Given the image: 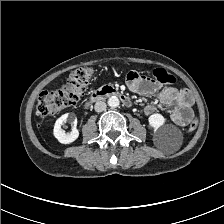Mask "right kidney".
Listing matches in <instances>:
<instances>
[{
  "mask_svg": "<svg viewBox=\"0 0 224 224\" xmlns=\"http://www.w3.org/2000/svg\"><path fill=\"white\" fill-rule=\"evenodd\" d=\"M66 121L70 122L73 125L72 131L68 134H66L61 129V126ZM76 125H77V118H76L75 114L74 113H66L56 120L54 129H53V134H54L55 138L58 139V141L62 144L72 143L79 136V131L77 130Z\"/></svg>",
  "mask_w": 224,
  "mask_h": 224,
  "instance_id": "obj_1",
  "label": "right kidney"
}]
</instances>
